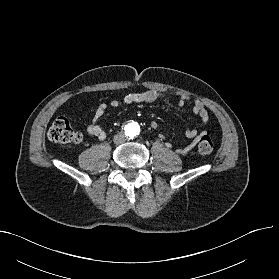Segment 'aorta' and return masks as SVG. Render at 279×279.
Returning a JSON list of instances; mask_svg holds the SVG:
<instances>
[{
    "label": "aorta",
    "instance_id": "obj_1",
    "mask_svg": "<svg viewBox=\"0 0 279 279\" xmlns=\"http://www.w3.org/2000/svg\"><path fill=\"white\" fill-rule=\"evenodd\" d=\"M125 130L130 136H136L139 132V125L135 122H130L125 126Z\"/></svg>",
    "mask_w": 279,
    "mask_h": 279
}]
</instances>
